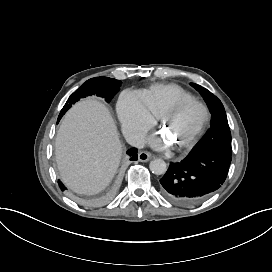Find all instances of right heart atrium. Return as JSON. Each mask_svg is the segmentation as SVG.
<instances>
[{
    "mask_svg": "<svg viewBox=\"0 0 272 272\" xmlns=\"http://www.w3.org/2000/svg\"><path fill=\"white\" fill-rule=\"evenodd\" d=\"M119 111L125 131L133 139L141 138L157 122L155 116L139 93L124 91L119 99Z\"/></svg>",
    "mask_w": 272,
    "mask_h": 272,
    "instance_id": "obj_1",
    "label": "right heart atrium"
}]
</instances>
